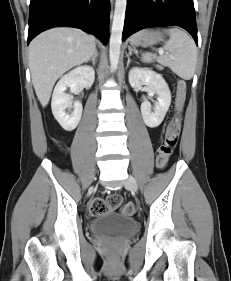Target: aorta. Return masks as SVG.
<instances>
[{"instance_id":"aorta-1","label":"aorta","mask_w":231,"mask_h":281,"mask_svg":"<svg viewBox=\"0 0 231 281\" xmlns=\"http://www.w3.org/2000/svg\"><path fill=\"white\" fill-rule=\"evenodd\" d=\"M126 6L127 0H116L115 2L109 49V59L112 70H116L119 63Z\"/></svg>"}]
</instances>
